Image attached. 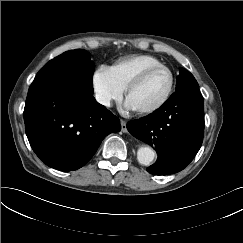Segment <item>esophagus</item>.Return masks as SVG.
I'll return each mask as SVG.
<instances>
[{
  "instance_id": "esophagus-1",
  "label": "esophagus",
  "mask_w": 243,
  "mask_h": 243,
  "mask_svg": "<svg viewBox=\"0 0 243 243\" xmlns=\"http://www.w3.org/2000/svg\"><path fill=\"white\" fill-rule=\"evenodd\" d=\"M120 124H121V130H122V132L123 133H127V126H126V121H124V120H120Z\"/></svg>"
}]
</instances>
